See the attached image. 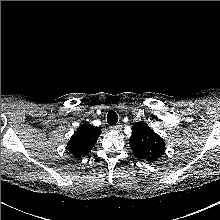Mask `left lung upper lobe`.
<instances>
[{
    "mask_svg": "<svg viewBox=\"0 0 220 220\" xmlns=\"http://www.w3.org/2000/svg\"><path fill=\"white\" fill-rule=\"evenodd\" d=\"M129 143L135 157L139 159L152 162L165 152L163 139L144 122L133 125Z\"/></svg>",
    "mask_w": 220,
    "mask_h": 220,
    "instance_id": "obj_1",
    "label": "left lung upper lobe"
}]
</instances>
